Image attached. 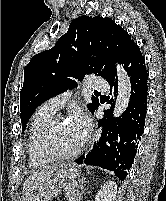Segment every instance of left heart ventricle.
<instances>
[{"label":"left heart ventricle","mask_w":166,"mask_h":201,"mask_svg":"<svg viewBox=\"0 0 166 201\" xmlns=\"http://www.w3.org/2000/svg\"><path fill=\"white\" fill-rule=\"evenodd\" d=\"M50 142L55 150L62 153L74 151L82 144L78 133L68 121H62L54 128Z\"/></svg>","instance_id":"obj_1"}]
</instances>
